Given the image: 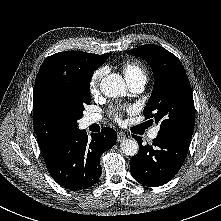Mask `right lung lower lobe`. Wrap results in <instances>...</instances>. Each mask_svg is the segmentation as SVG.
<instances>
[{
	"label": "right lung lower lobe",
	"instance_id": "right-lung-lower-lobe-1",
	"mask_svg": "<svg viewBox=\"0 0 221 221\" xmlns=\"http://www.w3.org/2000/svg\"><path fill=\"white\" fill-rule=\"evenodd\" d=\"M116 138V131L109 127L91 140L85 130L78 129L44 159L50 175L60 186L73 191L94 185L102 173L99 159L115 144Z\"/></svg>",
	"mask_w": 221,
	"mask_h": 221
}]
</instances>
